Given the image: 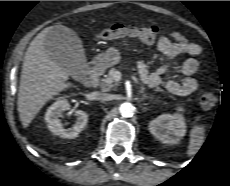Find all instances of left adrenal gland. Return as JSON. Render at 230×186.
<instances>
[{
    "mask_svg": "<svg viewBox=\"0 0 230 186\" xmlns=\"http://www.w3.org/2000/svg\"><path fill=\"white\" fill-rule=\"evenodd\" d=\"M144 98H153V96H150V97H146V96H144Z\"/></svg>",
    "mask_w": 230,
    "mask_h": 186,
    "instance_id": "1",
    "label": "left adrenal gland"
}]
</instances>
